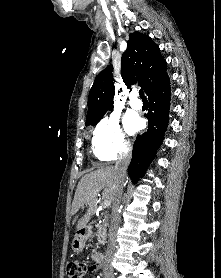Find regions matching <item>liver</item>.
Masks as SVG:
<instances>
[{
	"label": "liver",
	"mask_w": 221,
	"mask_h": 278,
	"mask_svg": "<svg viewBox=\"0 0 221 278\" xmlns=\"http://www.w3.org/2000/svg\"><path fill=\"white\" fill-rule=\"evenodd\" d=\"M125 181V179H124ZM119 177L114 166L101 167L96 171L84 175L77 185L72 203V215L80 208L87 207V212L78 221L77 230L86 227L97 209V197L102 191V199L113 203L115 190L119 185Z\"/></svg>",
	"instance_id": "1"
}]
</instances>
